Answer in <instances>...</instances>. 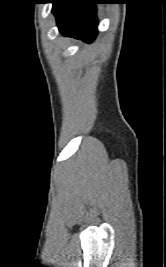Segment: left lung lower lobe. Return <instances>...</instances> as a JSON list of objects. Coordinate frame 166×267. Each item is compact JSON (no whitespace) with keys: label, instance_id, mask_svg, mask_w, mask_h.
Instances as JSON below:
<instances>
[{"label":"left lung lower lobe","instance_id":"1","mask_svg":"<svg viewBox=\"0 0 166 267\" xmlns=\"http://www.w3.org/2000/svg\"><path fill=\"white\" fill-rule=\"evenodd\" d=\"M52 12L64 36L91 43L97 35L95 0H52Z\"/></svg>","mask_w":166,"mask_h":267}]
</instances>
